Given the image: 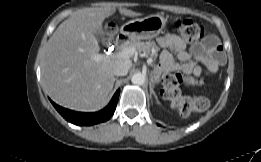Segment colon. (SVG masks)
<instances>
[{"label": "colon", "mask_w": 261, "mask_h": 162, "mask_svg": "<svg viewBox=\"0 0 261 162\" xmlns=\"http://www.w3.org/2000/svg\"><path fill=\"white\" fill-rule=\"evenodd\" d=\"M176 28L180 35L186 41H197L205 34L204 27L190 18H180L176 21ZM113 30H108V37L105 39V46L109 47L112 44ZM193 79L188 76H183L178 73H168L163 77V92L164 98L170 100L182 114L187 115L191 111H205L209 106V101L203 96L194 98L182 95V87L192 83ZM198 86L203 87L204 81L198 80Z\"/></svg>", "instance_id": "5ec220e1"}]
</instances>
